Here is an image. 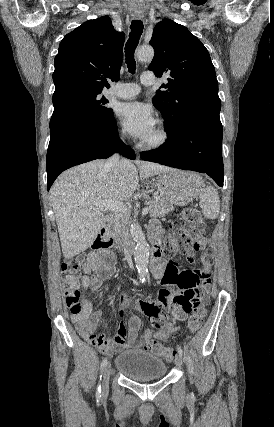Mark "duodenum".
Wrapping results in <instances>:
<instances>
[{
  "label": "duodenum",
  "instance_id": "obj_1",
  "mask_svg": "<svg viewBox=\"0 0 274 427\" xmlns=\"http://www.w3.org/2000/svg\"><path fill=\"white\" fill-rule=\"evenodd\" d=\"M110 219L108 218L105 222V224L101 227L99 234L97 236V239L94 243V247L96 249H101L105 247H109L112 245V240L108 236L107 230H108V224ZM158 236H153V243L151 247V258L153 261L157 260L161 256V247L157 241ZM119 252L125 256L132 255L134 252V245L130 243H123L119 246Z\"/></svg>",
  "mask_w": 274,
  "mask_h": 427
}]
</instances>
